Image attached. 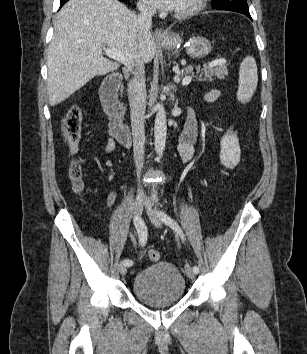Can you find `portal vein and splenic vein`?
I'll return each mask as SVG.
<instances>
[{"mask_svg":"<svg viewBox=\"0 0 307 354\" xmlns=\"http://www.w3.org/2000/svg\"><path fill=\"white\" fill-rule=\"evenodd\" d=\"M104 51H105V54L111 58V59H114L116 61H119L121 63H123L127 68L128 70H131L132 67L129 63H127L126 61V58L125 56L121 53V51L117 50V49H114V48H104ZM226 63V60L225 59H219L217 61H213L212 65H220V64H224ZM174 80L176 82H179L180 81V78L177 76L174 78ZM192 80V76L191 75H188V76H185L183 79H182V85L183 86H186L188 85Z\"/></svg>","mask_w":307,"mask_h":354,"instance_id":"portal-vein-and-splenic-vein-1","label":"portal vein and splenic vein"}]
</instances>
